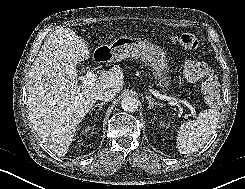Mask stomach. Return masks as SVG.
<instances>
[{
    "instance_id": "obj_1",
    "label": "stomach",
    "mask_w": 245,
    "mask_h": 189,
    "mask_svg": "<svg viewBox=\"0 0 245 189\" xmlns=\"http://www.w3.org/2000/svg\"><path fill=\"white\" fill-rule=\"evenodd\" d=\"M97 50H107L110 60L140 58L149 67L158 80V85L167 87L170 84L168 75V58L161 47L141 38L120 36L109 46L102 45Z\"/></svg>"
}]
</instances>
